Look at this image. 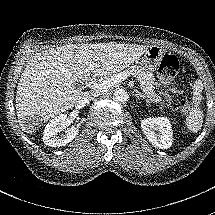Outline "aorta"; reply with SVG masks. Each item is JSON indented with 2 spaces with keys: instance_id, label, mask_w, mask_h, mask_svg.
Wrapping results in <instances>:
<instances>
[{
  "instance_id": "1",
  "label": "aorta",
  "mask_w": 215,
  "mask_h": 215,
  "mask_svg": "<svg viewBox=\"0 0 215 215\" xmlns=\"http://www.w3.org/2000/svg\"><path fill=\"white\" fill-rule=\"evenodd\" d=\"M113 98L118 103H124L128 101L129 93L124 89H119L114 92Z\"/></svg>"
}]
</instances>
